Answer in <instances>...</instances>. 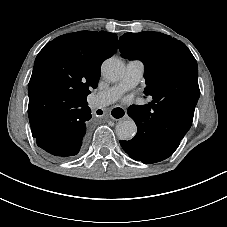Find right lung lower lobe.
<instances>
[{"label":"right lung lower lobe","mask_w":227,"mask_h":227,"mask_svg":"<svg viewBox=\"0 0 227 227\" xmlns=\"http://www.w3.org/2000/svg\"><path fill=\"white\" fill-rule=\"evenodd\" d=\"M90 119L91 110L86 104L74 109L66 123L56 129L47 130L38 124H31L32 135L37 145L51 158L64 159L80 151Z\"/></svg>","instance_id":"obj_1"}]
</instances>
